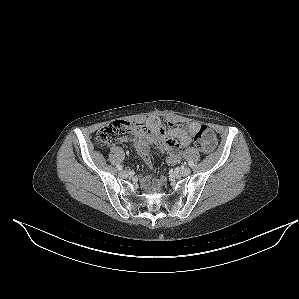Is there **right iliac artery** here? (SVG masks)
<instances>
[{"label":"right iliac artery","instance_id":"obj_1","mask_svg":"<svg viewBox=\"0 0 299 299\" xmlns=\"http://www.w3.org/2000/svg\"><path fill=\"white\" fill-rule=\"evenodd\" d=\"M116 168L118 171H121L123 169L122 165H117Z\"/></svg>","mask_w":299,"mask_h":299}]
</instances>
